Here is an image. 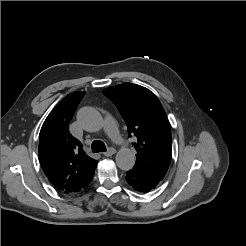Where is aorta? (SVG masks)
Returning <instances> with one entry per match:
<instances>
[{"instance_id": "1", "label": "aorta", "mask_w": 246, "mask_h": 246, "mask_svg": "<svg viewBox=\"0 0 246 246\" xmlns=\"http://www.w3.org/2000/svg\"><path fill=\"white\" fill-rule=\"evenodd\" d=\"M77 117L80 125L87 131H98L102 126V117L94 108L85 107L80 109ZM135 160V154L128 148H122L116 154V164L124 171L132 169Z\"/></svg>"}]
</instances>
